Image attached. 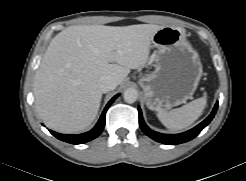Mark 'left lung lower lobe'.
Returning <instances> with one entry per match:
<instances>
[{"mask_svg":"<svg viewBox=\"0 0 246 181\" xmlns=\"http://www.w3.org/2000/svg\"><path fill=\"white\" fill-rule=\"evenodd\" d=\"M217 107H218V102H216L212 113L203 122H201L196 127L192 128L191 130L180 133V134H161V133L151 130L145 124L140 108H138L139 123H140V127L143 130V132L149 137H151L152 139H154L155 141L163 143V144H167V145L181 144V143L190 141L193 138H195L202 131V129H204L210 123V121L213 119L217 111Z\"/></svg>","mask_w":246,"mask_h":181,"instance_id":"1","label":"left lung lower lobe"}]
</instances>
